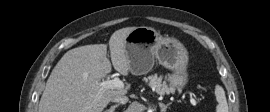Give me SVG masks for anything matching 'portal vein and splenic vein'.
Wrapping results in <instances>:
<instances>
[{
	"label": "portal vein and splenic vein",
	"instance_id": "1",
	"mask_svg": "<svg viewBox=\"0 0 270 112\" xmlns=\"http://www.w3.org/2000/svg\"><path fill=\"white\" fill-rule=\"evenodd\" d=\"M100 86L102 87V89H122L124 88V83L118 77H115L112 80L102 81L100 83ZM189 98L191 104L193 106H196L197 103L194 98H192L191 96Z\"/></svg>",
	"mask_w": 270,
	"mask_h": 112
}]
</instances>
